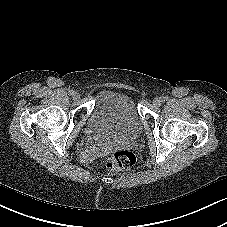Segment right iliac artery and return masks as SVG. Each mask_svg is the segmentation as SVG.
Returning a JSON list of instances; mask_svg holds the SVG:
<instances>
[{
  "label": "right iliac artery",
  "mask_w": 227,
  "mask_h": 227,
  "mask_svg": "<svg viewBox=\"0 0 227 227\" xmlns=\"http://www.w3.org/2000/svg\"><path fill=\"white\" fill-rule=\"evenodd\" d=\"M68 93L70 96H73L75 92L73 90H70Z\"/></svg>",
  "instance_id": "right-iliac-artery-1"
}]
</instances>
